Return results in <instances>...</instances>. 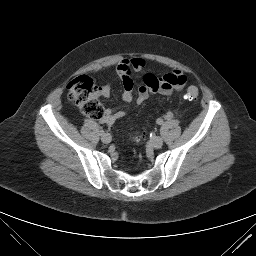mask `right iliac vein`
<instances>
[{"instance_id":"63e3f726","label":"right iliac vein","mask_w":256,"mask_h":256,"mask_svg":"<svg viewBox=\"0 0 256 256\" xmlns=\"http://www.w3.org/2000/svg\"><path fill=\"white\" fill-rule=\"evenodd\" d=\"M101 140H102V142L103 143H105V144H108V143H110L111 142V136H110V134H104L102 137H101Z\"/></svg>"}]
</instances>
